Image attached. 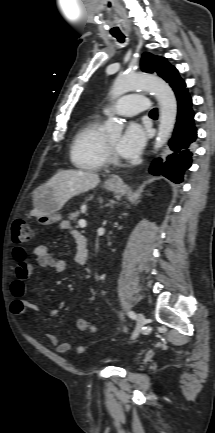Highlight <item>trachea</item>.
Returning a JSON list of instances; mask_svg holds the SVG:
<instances>
[{
  "instance_id": "trachea-1",
  "label": "trachea",
  "mask_w": 215,
  "mask_h": 433,
  "mask_svg": "<svg viewBox=\"0 0 215 433\" xmlns=\"http://www.w3.org/2000/svg\"><path fill=\"white\" fill-rule=\"evenodd\" d=\"M115 37L117 38V40H118L119 42H124L125 37H124L123 35L115 36ZM150 115H157V109L154 108V109L150 112Z\"/></svg>"
}]
</instances>
